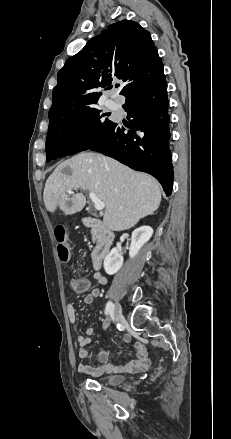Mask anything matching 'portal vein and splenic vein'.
I'll return each instance as SVG.
<instances>
[{"instance_id": "1", "label": "portal vein and splenic vein", "mask_w": 231, "mask_h": 439, "mask_svg": "<svg viewBox=\"0 0 231 439\" xmlns=\"http://www.w3.org/2000/svg\"><path fill=\"white\" fill-rule=\"evenodd\" d=\"M73 187H78V186H73ZM73 187H71V188H69V189L67 190V192H68L69 194L72 193V188H73ZM89 197H90L91 201L93 202L94 207H95L96 210H98V211H102V210L105 208V204H104V202L101 201V200L96 196L95 193L90 192V193H89Z\"/></svg>"}]
</instances>
